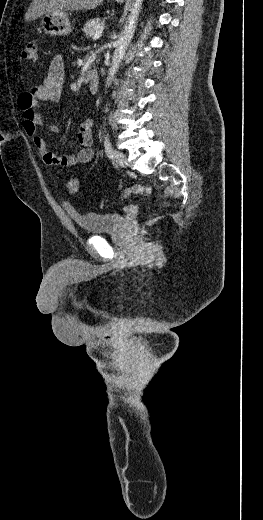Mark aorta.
I'll return each mask as SVG.
<instances>
[{"label":"aorta","instance_id":"aorta-1","mask_svg":"<svg viewBox=\"0 0 263 520\" xmlns=\"http://www.w3.org/2000/svg\"><path fill=\"white\" fill-rule=\"evenodd\" d=\"M143 0H133L132 8L130 9V15L121 36L117 41V45L112 57V64L108 71V77L106 80V87H109L120 67V63L128 49V46L133 38L136 23L140 13L141 5Z\"/></svg>","mask_w":263,"mask_h":520}]
</instances>
